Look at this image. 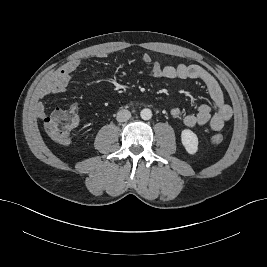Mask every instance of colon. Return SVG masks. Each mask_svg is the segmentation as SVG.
<instances>
[{"mask_svg": "<svg viewBox=\"0 0 267 267\" xmlns=\"http://www.w3.org/2000/svg\"><path fill=\"white\" fill-rule=\"evenodd\" d=\"M78 122L77 113L56 109L44 118V128L51 139L58 143L66 144L69 142L71 132ZM211 141L214 144H220L223 141V136L214 134L211 137Z\"/></svg>", "mask_w": 267, "mask_h": 267, "instance_id": "1", "label": "colon"}]
</instances>
